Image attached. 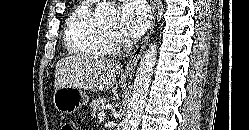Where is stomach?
Masks as SVG:
<instances>
[{
    "label": "stomach",
    "mask_w": 249,
    "mask_h": 130,
    "mask_svg": "<svg viewBox=\"0 0 249 130\" xmlns=\"http://www.w3.org/2000/svg\"><path fill=\"white\" fill-rule=\"evenodd\" d=\"M89 102L88 95L81 89L62 87L55 91L53 103L55 108L65 114H72Z\"/></svg>",
    "instance_id": "stomach-1"
}]
</instances>
